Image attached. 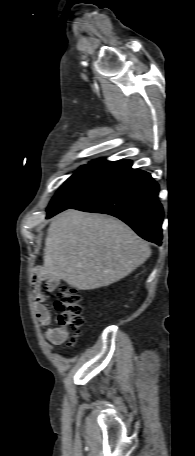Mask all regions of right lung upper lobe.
Instances as JSON below:
<instances>
[{
    "label": "right lung upper lobe",
    "mask_w": 195,
    "mask_h": 456,
    "mask_svg": "<svg viewBox=\"0 0 195 456\" xmlns=\"http://www.w3.org/2000/svg\"><path fill=\"white\" fill-rule=\"evenodd\" d=\"M90 164L95 165V166L126 170L131 167L132 162L130 160H121V161H115V162H110V161H106V160H94Z\"/></svg>",
    "instance_id": "right-lung-upper-lobe-1"
}]
</instances>
